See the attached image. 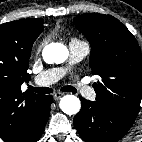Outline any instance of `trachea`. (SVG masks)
Masks as SVG:
<instances>
[{
	"mask_svg": "<svg viewBox=\"0 0 142 142\" xmlns=\"http://www.w3.org/2000/svg\"><path fill=\"white\" fill-rule=\"evenodd\" d=\"M30 91L36 92L38 94H50L53 92V89L49 87H39L35 88L32 86H29ZM61 91L63 92H72V93H77V90L73 86H64L61 88Z\"/></svg>",
	"mask_w": 142,
	"mask_h": 142,
	"instance_id": "trachea-1",
	"label": "trachea"
}]
</instances>
